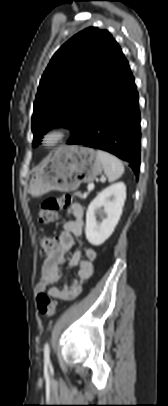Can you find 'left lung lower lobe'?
I'll return each instance as SVG.
<instances>
[{
  "mask_svg": "<svg viewBox=\"0 0 168 406\" xmlns=\"http://www.w3.org/2000/svg\"><path fill=\"white\" fill-rule=\"evenodd\" d=\"M140 112L134 77L125 57L92 107L80 133L67 142L105 150L140 168Z\"/></svg>",
  "mask_w": 168,
  "mask_h": 406,
  "instance_id": "left-lung-lower-lobe-1",
  "label": "left lung lower lobe"
}]
</instances>
